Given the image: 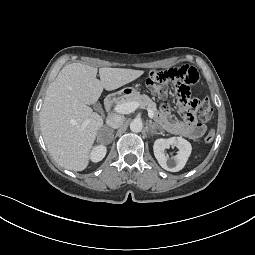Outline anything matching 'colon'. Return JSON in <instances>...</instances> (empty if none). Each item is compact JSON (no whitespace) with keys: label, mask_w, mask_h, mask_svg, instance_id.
<instances>
[{"label":"colon","mask_w":255,"mask_h":255,"mask_svg":"<svg viewBox=\"0 0 255 255\" xmlns=\"http://www.w3.org/2000/svg\"><path fill=\"white\" fill-rule=\"evenodd\" d=\"M198 80V73L195 68L185 65L178 68H171L166 71L152 70L145 79L147 87L159 94H164L168 83H174L179 96L180 104L188 112H198L203 122L210 120L212 107L206 97L191 98L190 86ZM215 138V132L210 131L205 136V141L210 143Z\"/></svg>","instance_id":"colon-1"}]
</instances>
